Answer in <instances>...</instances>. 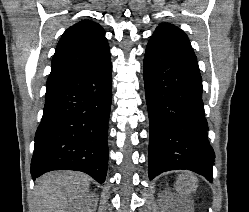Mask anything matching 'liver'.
I'll return each mask as SVG.
<instances>
[{
	"label": "liver",
	"instance_id": "liver-1",
	"mask_svg": "<svg viewBox=\"0 0 249 212\" xmlns=\"http://www.w3.org/2000/svg\"><path fill=\"white\" fill-rule=\"evenodd\" d=\"M91 178L82 172H48L36 180L34 190L35 212H76L80 202L89 192ZM178 192L191 194L196 186L194 176L180 174Z\"/></svg>",
	"mask_w": 249,
	"mask_h": 212
}]
</instances>
